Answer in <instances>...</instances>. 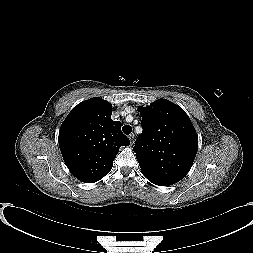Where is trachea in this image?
<instances>
[{"mask_svg": "<svg viewBox=\"0 0 253 253\" xmlns=\"http://www.w3.org/2000/svg\"><path fill=\"white\" fill-rule=\"evenodd\" d=\"M122 131L126 134L129 135L132 132V127L129 125H125L122 127Z\"/></svg>", "mask_w": 253, "mask_h": 253, "instance_id": "3493384b", "label": "trachea"}]
</instances>
